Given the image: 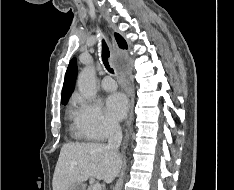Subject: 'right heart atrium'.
<instances>
[{
	"mask_svg": "<svg viewBox=\"0 0 234 190\" xmlns=\"http://www.w3.org/2000/svg\"><path fill=\"white\" fill-rule=\"evenodd\" d=\"M73 102V119L82 136L101 141L118 130V124L104 113L98 102L80 95H75Z\"/></svg>",
	"mask_w": 234,
	"mask_h": 190,
	"instance_id": "1",
	"label": "right heart atrium"
}]
</instances>
